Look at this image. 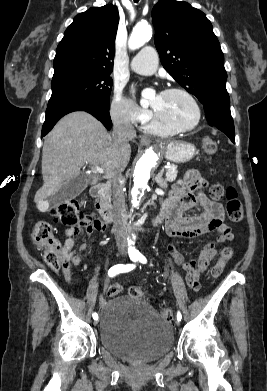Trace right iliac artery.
<instances>
[{
  "instance_id": "obj_1",
  "label": "right iliac artery",
  "mask_w": 267,
  "mask_h": 391,
  "mask_svg": "<svg viewBox=\"0 0 267 391\" xmlns=\"http://www.w3.org/2000/svg\"><path fill=\"white\" fill-rule=\"evenodd\" d=\"M131 260H132L133 262L138 261V259L135 258V257H134V258H131ZM134 267H135V265H133V264H128V265L118 264V265H115V266H113V267H111V268L109 269L108 275H109L110 277H113V276H115L116 274L123 273V272H128V271L132 270ZM93 318H94L95 320H97V319H98V315H97L96 313H94V314H93Z\"/></svg>"
}]
</instances>
